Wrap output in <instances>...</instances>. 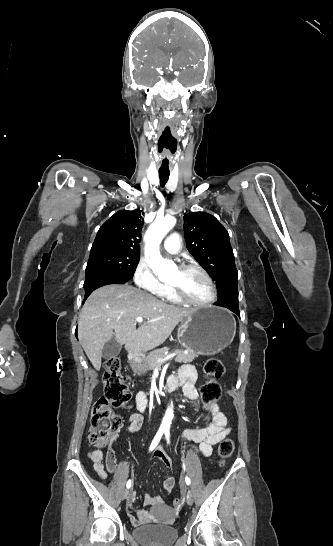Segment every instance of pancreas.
I'll list each match as a JSON object with an SVG mask.
<instances>
[{"label":"pancreas","mask_w":333,"mask_h":546,"mask_svg":"<svg viewBox=\"0 0 333 546\" xmlns=\"http://www.w3.org/2000/svg\"><path fill=\"white\" fill-rule=\"evenodd\" d=\"M167 351H168V347H163V348L155 349V350L151 351L144 360L145 369L146 370H153L156 367L161 366V364H163L165 361L159 362L158 360L160 358L166 357L167 355L165 354V352H167ZM173 353H177L175 361L179 362V363H181V362H183V363L192 362L195 359V357H197V354L194 353V352H188L186 354V353H184V351H182L180 349H176Z\"/></svg>","instance_id":"cf45deb5"}]
</instances>
